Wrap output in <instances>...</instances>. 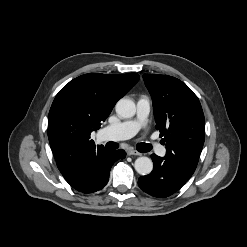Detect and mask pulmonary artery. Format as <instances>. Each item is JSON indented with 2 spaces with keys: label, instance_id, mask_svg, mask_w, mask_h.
I'll return each mask as SVG.
<instances>
[{
  "label": "pulmonary artery",
  "instance_id": "e3ab8cb5",
  "mask_svg": "<svg viewBox=\"0 0 247 247\" xmlns=\"http://www.w3.org/2000/svg\"><path fill=\"white\" fill-rule=\"evenodd\" d=\"M150 112V101L147 97H141L136 104V117L132 120L109 125L102 130L104 139L119 141L129 139L134 136L146 122ZM156 152L163 156L166 153L165 147L156 146Z\"/></svg>",
  "mask_w": 247,
  "mask_h": 247
}]
</instances>
